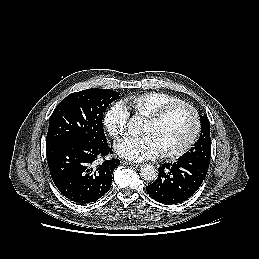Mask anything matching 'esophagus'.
<instances>
[{
	"label": "esophagus",
	"mask_w": 259,
	"mask_h": 259,
	"mask_svg": "<svg viewBox=\"0 0 259 259\" xmlns=\"http://www.w3.org/2000/svg\"><path fill=\"white\" fill-rule=\"evenodd\" d=\"M123 164H124V165H130V166H133V167H135V168H140V167H142V164L132 163V162H128V161H123Z\"/></svg>",
	"instance_id": "1"
}]
</instances>
